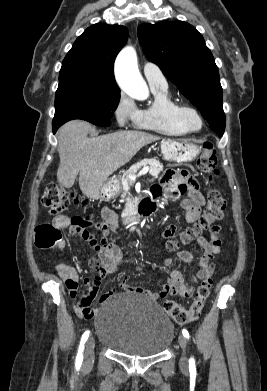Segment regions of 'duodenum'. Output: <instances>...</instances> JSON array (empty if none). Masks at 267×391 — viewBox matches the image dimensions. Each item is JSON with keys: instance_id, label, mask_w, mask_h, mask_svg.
<instances>
[{"instance_id": "obj_1", "label": "duodenum", "mask_w": 267, "mask_h": 391, "mask_svg": "<svg viewBox=\"0 0 267 391\" xmlns=\"http://www.w3.org/2000/svg\"><path fill=\"white\" fill-rule=\"evenodd\" d=\"M153 209V205L150 203H145L140 206L135 207L129 211L125 216L123 223L128 227H134L140 224L141 214L148 213Z\"/></svg>"}]
</instances>
